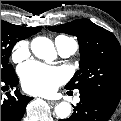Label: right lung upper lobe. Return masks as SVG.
Segmentation results:
<instances>
[{
    "instance_id": "cb5924a9",
    "label": "right lung upper lobe",
    "mask_w": 121,
    "mask_h": 121,
    "mask_svg": "<svg viewBox=\"0 0 121 121\" xmlns=\"http://www.w3.org/2000/svg\"><path fill=\"white\" fill-rule=\"evenodd\" d=\"M27 34H28V37L33 35V34H36L40 31V27H24Z\"/></svg>"
}]
</instances>
